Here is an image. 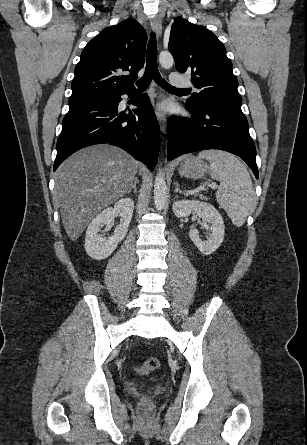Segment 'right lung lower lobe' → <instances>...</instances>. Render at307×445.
Listing matches in <instances>:
<instances>
[{"instance_id":"right-lung-lower-lobe-1","label":"right lung lower lobe","mask_w":307,"mask_h":445,"mask_svg":"<svg viewBox=\"0 0 307 445\" xmlns=\"http://www.w3.org/2000/svg\"><path fill=\"white\" fill-rule=\"evenodd\" d=\"M135 88L69 102L57 141L54 171L72 153L99 143L126 150L153 169L160 147L156 116L146 94L136 98L134 113H118L120 96H135Z\"/></svg>"}]
</instances>
